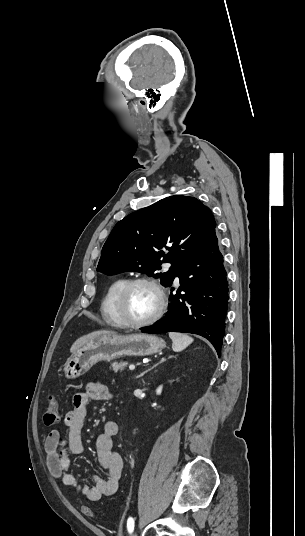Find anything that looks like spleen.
<instances>
[{
    "label": "spleen",
    "instance_id": "1",
    "mask_svg": "<svg viewBox=\"0 0 305 536\" xmlns=\"http://www.w3.org/2000/svg\"><path fill=\"white\" fill-rule=\"evenodd\" d=\"M169 336L173 342V352H182V350L188 348L193 342V338H190L187 334H175V332H170Z\"/></svg>",
    "mask_w": 305,
    "mask_h": 536
}]
</instances>
